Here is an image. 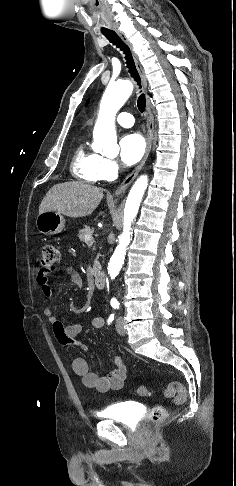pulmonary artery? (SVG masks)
Listing matches in <instances>:
<instances>
[{
    "label": "pulmonary artery",
    "mask_w": 236,
    "mask_h": 486,
    "mask_svg": "<svg viewBox=\"0 0 236 486\" xmlns=\"http://www.w3.org/2000/svg\"><path fill=\"white\" fill-rule=\"evenodd\" d=\"M117 123L122 127L129 128L134 124V118L130 113L122 112L117 116Z\"/></svg>",
    "instance_id": "1"
}]
</instances>
